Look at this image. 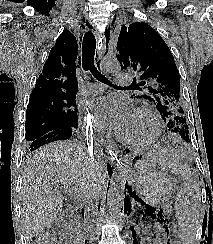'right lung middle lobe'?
Here are the masks:
<instances>
[{"label":"right lung middle lobe","mask_w":213,"mask_h":244,"mask_svg":"<svg viewBox=\"0 0 213 244\" xmlns=\"http://www.w3.org/2000/svg\"><path fill=\"white\" fill-rule=\"evenodd\" d=\"M76 96H41L30 98L26 111L28 142L63 128H77Z\"/></svg>","instance_id":"dd1d6c3e"}]
</instances>
